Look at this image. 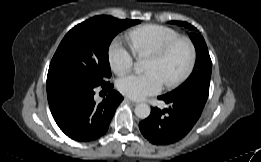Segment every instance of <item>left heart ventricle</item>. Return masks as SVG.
Segmentation results:
<instances>
[{
    "mask_svg": "<svg viewBox=\"0 0 261 162\" xmlns=\"http://www.w3.org/2000/svg\"><path fill=\"white\" fill-rule=\"evenodd\" d=\"M188 58V49L186 45L181 44L164 59L148 56L145 69L148 71H158L164 82L167 83L178 76L185 69Z\"/></svg>",
    "mask_w": 261,
    "mask_h": 162,
    "instance_id": "left-heart-ventricle-1",
    "label": "left heart ventricle"
}]
</instances>
